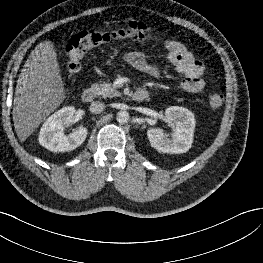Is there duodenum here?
Returning <instances> with one entry per match:
<instances>
[{
	"label": "duodenum",
	"mask_w": 263,
	"mask_h": 263,
	"mask_svg": "<svg viewBox=\"0 0 263 263\" xmlns=\"http://www.w3.org/2000/svg\"><path fill=\"white\" fill-rule=\"evenodd\" d=\"M94 97H95V90L93 88L89 87L82 91L81 98L83 102L89 103L94 100ZM148 97H149V93L144 89H138L132 95L133 100L137 102L144 101Z\"/></svg>",
	"instance_id": "1"
}]
</instances>
